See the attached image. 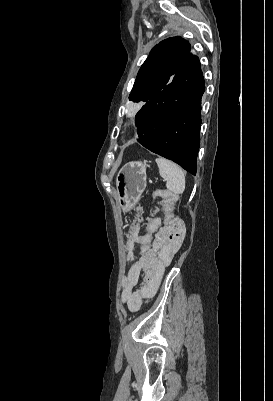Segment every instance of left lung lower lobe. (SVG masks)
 Listing matches in <instances>:
<instances>
[{"instance_id":"left-lung-lower-lobe-1","label":"left lung lower lobe","mask_w":273,"mask_h":401,"mask_svg":"<svg viewBox=\"0 0 273 401\" xmlns=\"http://www.w3.org/2000/svg\"><path fill=\"white\" fill-rule=\"evenodd\" d=\"M204 78L190 53L168 85L136 114L137 140L150 151L196 174Z\"/></svg>"}]
</instances>
